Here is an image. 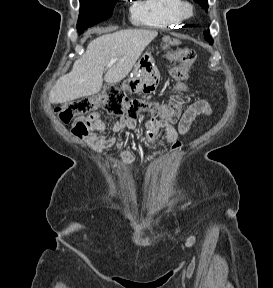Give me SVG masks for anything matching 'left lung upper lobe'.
<instances>
[{"mask_svg": "<svg viewBox=\"0 0 273 288\" xmlns=\"http://www.w3.org/2000/svg\"><path fill=\"white\" fill-rule=\"evenodd\" d=\"M197 3H199L201 5L202 8L207 9L208 8V0H194ZM204 37L205 39L212 44L213 43V39L211 38L210 34H209V30L204 31Z\"/></svg>", "mask_w": 273, "mask_h": 288, "instance_id": "left-lung-upper-lobe-1", "label": "left lung upper lobe"}]
</instances>
